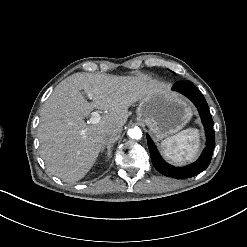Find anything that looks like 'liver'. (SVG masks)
I'll return each mask as SVG.
<instances>
[{"instance_id": "liver-1", "label": "liver", "mask_w": 247, "mask_h": 247, "mask_svg": "<svg viewBox=\"0 0 247 247\" xmlns=\"http://www.w3.org/2000/svg\"><path fill=\"white\" fill-rule=\"evenodd\" d=\"M158 84L157 78L144 72L127 76L76 73L64 79L44 102L37 128L47 171L65 182L79 180L95 162L107 137L105 128L124 125L128 107ZM93 109L108 112L97 124H88L83 118Z\"/></svg>"}]
</instances>
